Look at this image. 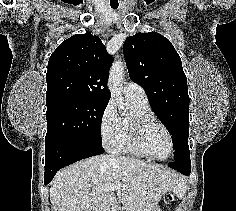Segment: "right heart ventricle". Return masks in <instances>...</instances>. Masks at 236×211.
Listing matches in <instances>:
<instances>
[{
  "mask_svg": "<svg viewBox=\"0 0 236 211\" xmlns=\"http://www.w3.org/2000/svg\"><path fill=\"white\" fill-rule=\"evenodd\" d=\"M133 107V113H141L154 117V113L147 103H141L135 100H129ZM128 120L129 117H120V132L112 146V150L117 153L137 154L128 142ZM138 155V154H137Z\"/></svg>",
  "mask_w": 236,
  "mask_h": 211,
  "instance_id": "e07e8e85",
  "label": "right heart ventricle"
}]
</instances>
